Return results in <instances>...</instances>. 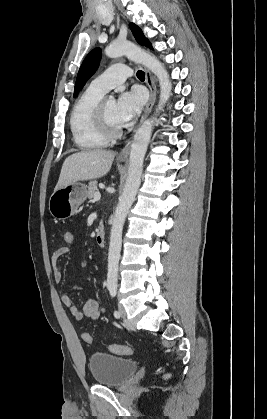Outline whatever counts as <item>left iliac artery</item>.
<instances>
[{
	"mask_svg": "<svg viewBox=\"0 0 267 419\" xmlns=\"http://www.w3.org/2000/svg\"><path fill=\"white\" fill-rule=\"evenodd\" d=\"M109 291H110V295H111L112 297H115V296H116V294H117V288H116V287H111V288L109 289ZM114 317H115V318H120V313H119V311H117V310H115V311H114Z\"/></svg>",
	"mask_w": 267,
	"mask_h": 419,
	"instance_id": "44dca946",
	"label": "left iliac artery"
}]
</instances>
